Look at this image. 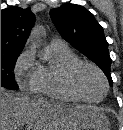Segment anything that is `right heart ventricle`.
I'll list each match as a JSON object with an SVG mask.
<instances>
[{
    "instance_id": "right-heart-ventricle-1",
    "label": "right heart ventricle",
    "mask_w": 123,
    "mask_h": 130,
    "mask_svg": "<svg viewBox=\"0 0 123 130\" xmlns=\"http://www.w3.org/2000/svg\"><path fill=\"white\" fill-rule=\"evenodd\" d=\"M48 53L52 56L53 62L39 64L40 73L33 93L61 102H77L65 88L62 79V72L66 65L79 60L78 56L67 46H56L49 44Z\"/></svg>"
}]
</instances>
